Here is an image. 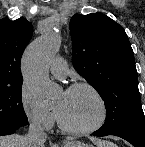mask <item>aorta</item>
Masks as SVG:
<instances>
[{"label":"aorta","mask_w":145,"mask_h":147,"mask_svg":"<svg viewBox=\"0 0 145 147\" xmlns=\"http://www.w3.org/2000/svg\"><path fill=\"white\" fill-rule=\"evenodd\" d=\"M60 44L59 32L54 28L32 42L22 60L24 78L35 90L40 101L51 99L56 86L49 78V64Z\"/></svg>","instance_id":"1"}]
</instances>
